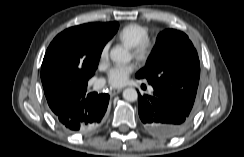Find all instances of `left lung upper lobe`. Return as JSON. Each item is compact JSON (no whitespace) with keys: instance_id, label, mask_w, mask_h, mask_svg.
<instances>
[{"instance_id":"1","label":"left lung upper lobe","mask_w":244,"mask_h":157,"mask_svg":"<svg viewBox=\"0 0 244 157\" xmlns=\"http://www.w3.org/2000/svg\"><path fill=\"white\" fill-rule=\"evenodd\" d=\"M136 77L146 78L181 105L190 106L195 114L201 93L200 62L185 33L175 29L161 32L146 66Z\"/></svg>"}]
</instances>
